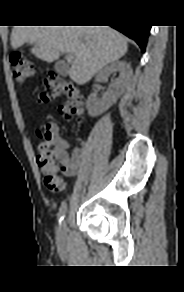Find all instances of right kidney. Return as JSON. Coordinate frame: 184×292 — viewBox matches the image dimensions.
Returning a JSON list of instances; mask_svg holds the SVG:
<instances>
[{
  "label": "right kidney",
  "mask_w": 184,
  "mask_h": 292,
  "mask_svg": "<svg viewBox=\"0 0 184 292\" xmlns=\"http://www.w3.org/2000/svg\"><path fill=\"white\" fill-rule=\"evenodd\" d=\"M112 72H119V76L111 81L102 98L97 99L95 93H91L88 97L86 107L89 115L92 117L102 114L118 100L132 76L130 64L124 60H116L99 72L96 77V82L107 81L108 76Z\"/></svg>",
  "instance_id": "1"
}]
</instances>
